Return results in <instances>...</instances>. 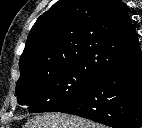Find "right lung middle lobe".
I'll return each instance as SVG.
<instances>
[{"mask_svg": "<svg viewBox=\"0 0 142 128\" xmlns=\"http://www.w3.org/2000/svg\"><path fill=\"white\" fill-rule=\"evenodd\" d=\"M96 80L89 69L79 65L49 69L18 80V103L27 105L30 113L55 111Z\"/></svg>", "mask_w": 142, "mask_h": 128, "instance_id": "obj_1", "label": "right lung middle lobe"}]
</instances>
